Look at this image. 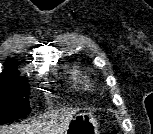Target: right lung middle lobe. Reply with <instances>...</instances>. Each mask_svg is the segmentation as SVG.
<instances>
[{"label":"right lung middle lobe","instance_id":"obj_1","mask_svg":"<svg viewBox=\"0 0 153 134\" xmlns=\"http://www.w3.org/2000/svg\"><path fill=\"white\" fill-rule=\"evenodd\" d=\"M29 93L26 78H0V125L31 112Z\"/></svg>","mask_w":153,"mask_h":134}]
</instances>
